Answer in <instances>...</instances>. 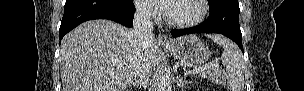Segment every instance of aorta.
<instances>
[{
  "label": "aorta",
  "mask_w": 304,
  "mask_h": 91,
  "mask_svg": "<svg viewBox=\"0 0 304 91\" xmlns=\"http://www.w3.org/2000/svg\"><path fill=\"white\" fill-rule=\"evenodd\" d=\"M171 80L167 75H161L158 81V91H171Z\"/></svg>",
  "instance_id": "aorta-1"
}]
</instances>
